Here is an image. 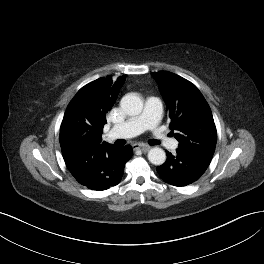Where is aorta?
<instances>
[{"mask_svg":"<svg viewBox=\"0 0 264 264\" xmlns=\"http://www.w3.org/2000/svg\"><path fill=\"white\" fill-rule=\"evenodd\" d=\"M120 105L130 116L140 114L143 109V101L134 93H128L123 96ZM148 160L154 165H162L166 161V153L161 148H151L148 152Z\"/></svg>","mask_w":264,"mask_h":264,"instance_id":"aorta-1","label":"aorta"}]
</instances>
